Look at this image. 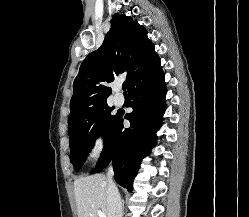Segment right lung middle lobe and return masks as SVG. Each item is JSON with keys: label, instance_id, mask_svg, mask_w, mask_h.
I'll use <instances>...</instances> for the list:
<instances>
[{"label": "right lung middle lobe", "instance_id": "right-lung-middle-lobe-1", "mask_svg": "<svg viewBox=\"0 0 249 217\" xmlns=\"http://www.w3.org/2000/svg\"><path fill=\"white\" fill-rule=\"evenodd\" d=\"M107 103L92 107L68 119L70 161L78 171L84 164L95 139L102 135L104 142L115 125L119 112L112 114Z\"/></svg>", "mask_w": 249, "mask_h": 217}]
</instances>
